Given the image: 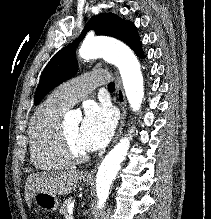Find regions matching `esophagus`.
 <instances>
[{
  "mask_svg": "<svg viewBox=\"0 0 211 219\" xmlns=\"http://www.w3.org/2000/svg\"><path fill=\"white\" fill-rule=\"evenodd\" d=\"M116 82H117L118 90H121V92H122L121 80H120L117 73H116ZM120 108H121V120H120L119 129H118L116 137L114 139V143L120 137V135L123 131L124 125H125V121H126V101H125V98H124V94H123L122 102L120 103ZM95 171H96V166H95V168H93L90 171L86 172V176L87 177H92L94 175Z\"/></svg>",
  "mask_w": 211,
  "mask_h": 219,
  "instance_id": "34e87169",
  "label": "esophagus"
}]
</instances>
